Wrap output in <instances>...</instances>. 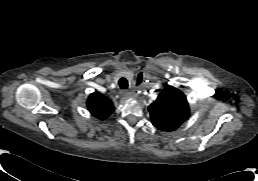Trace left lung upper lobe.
<instances>
[{
	"label": "left lung upper lobe",
	"instance_id": "5c2ea615",
	"mask_svg": "<svg viewBox=\"0 0 258 181\" xmlns=\"http://www.w3.org/2000/svg\"><path fill=\"white\" fill-rule=\"evenodd\" d=\"M148 109L152 124L162 131L177 129L189 116L185 95L172 86L165 87Z\"/></svg>",
	"mask_w": 258,
	"mask_h": 181
}]
</instances>
